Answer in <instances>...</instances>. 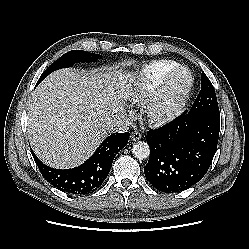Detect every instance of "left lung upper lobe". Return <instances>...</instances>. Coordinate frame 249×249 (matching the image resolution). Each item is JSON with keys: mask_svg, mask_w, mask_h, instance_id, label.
I'll use <instances>...</instances> for the list:
<instances>
[{"mask_svg": "<svg viewBox=\"0 0 249 249\" xmlns=\"http://www.w3.org/2000/svg\"><path fill=\"white\" fill-rule=\"evenodd\" d=\"M188 114L220 116L214 87L204 72L201 75V90Z\"/></svg>", "mask_w": 249, "mask_h": 249, "instance_id": "left-lung-upper-lobe-1", "label": "left lung upper lobe"}]
</instances>
